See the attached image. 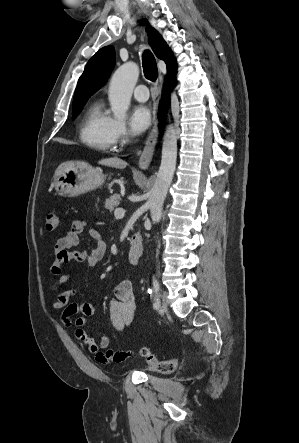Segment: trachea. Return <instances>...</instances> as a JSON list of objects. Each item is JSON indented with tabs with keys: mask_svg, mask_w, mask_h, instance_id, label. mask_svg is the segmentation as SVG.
<instances>
[{
	"mask_svg": "<svg viewBox=\"0 0 299 443\" xmlns=\"http://www.w3.org/2000/svg\"><path fill=\"white\" fill-rule=\"evenodd\" d=\"M142 61L145 77L148 80L155 82L158 78V69L155 57L149 50H146L142 55Z\"/></svg>",
	"mask_w": 299,
	"mask_h": 443,
	"instance_id": "3493384b",
	"label": "trachea"
}]
</instances>
